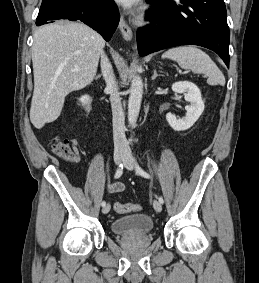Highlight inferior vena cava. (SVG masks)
I'll return each instance as SVG.
<instances>
[{
    "mask_svg": "<svg viewBox=\"0 0 259 283\" xmlns=\"http://www.w3.org/2000/svg\"><path fill=\"white\" fill-rule=\"evenodd\" d=\"M101 69L106 82V88L110 93L113 115L114 147L126 150L128 148V142L125 137L124 112L121 104V98L118 93V87L112 65L103 52L101 53Z\"/></svg>",
    "mask_w": 259,
    "mask_h": 283,
    "instance_id": "602c4592",
    "label": "inferior vena cava"
}]
</instances>
